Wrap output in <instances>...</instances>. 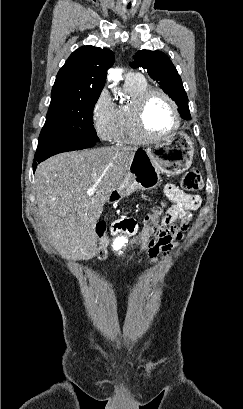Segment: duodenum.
<instances>
[{"instance_id":"1","label":"duodenum","mask_w":243,"mask_h":409,"mask_svg":"<svg viewBox=\"0 0 243 409\" xmlns=\"http://www.w3.org/2000/svg\"><path fill=\"white\" fill-rule=\"evenodd\" d=\"M117 199V195H113L111 197V200H116ZM113 230L114 231H124V232H132L134 230V223L131 220H122L117 222L116 224H114L113 226Z\"/></svg>"}]
</instances>
